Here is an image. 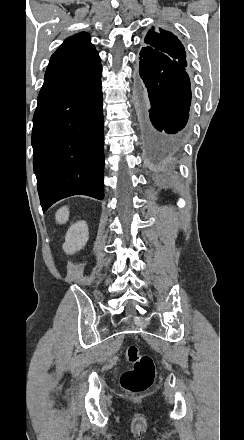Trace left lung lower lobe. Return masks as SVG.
<instances>
[{
	"label": "left lung lower lobe",
	"instance_id": "left-lung-lower-lobe-1",
	"mask_svg": "<svg viewBox=\"0 0 244 440\" xmlns=\"http://www.w3.org/2000/svg\"><path fill=\"white\" fill-rule=\"evenodd\" d=\"M140 136L146 150L179 149L188 136L190 79L183 65L140 60L135 82Z\"/></svg>",
	"mask_w": 244,
	"mask_h": 440
}]
</instances>
